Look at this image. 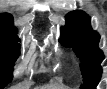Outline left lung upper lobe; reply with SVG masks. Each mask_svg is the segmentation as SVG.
Listing matches in <instances>:
<instances>
[{
	"label": "left lung upper lobe",
	"instance_id": "5c2ea615",
	"mask_svg": "<svg viewBox=\"0 0 107 89\" xmlns=\"http://www.w3.org/2000/svg\"><path fill=\"white\" fill-rule=\"evenodd\" d=\"M100 36L90 26V17L81 10L67 14L66 26L61 28L60 42L66 47H73L80 58L83 84L81 89H95L98 85L102 69L100 63L104 59L98 48Z\"/></svg>",
	"mask_w": 107,
	"mask_h": 89
}]
</instances>
